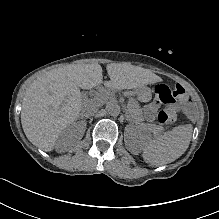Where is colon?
<instances>
[{
    "label": "colon",
    "mask_w": 219,
    "mask_h": 219,
    "mask_svg": "<svg viewBox=\"0 0 219 219\" xmlns=\"http://www.w3.org/2000/svg\"><path fill=\"white\" fill-rule=\"evenodd\" d=\"M173 101L168 103L167 107L158 114V121L163 127L171 126L176 120V108L174 106L175 100L188 99L187 93L183 86L176 85L172 92Z\"/></svg>",
    "instance_id": "colon-1"
}]
</instances>
